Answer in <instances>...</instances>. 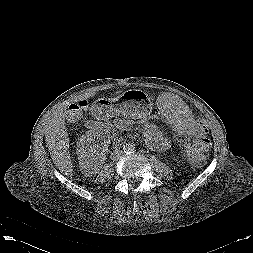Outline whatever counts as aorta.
<instances>
[{
  "label": "aorta",
  "mask_w": 253,
  "mask_h": 253,
  "mask_svg": "<svg viewBox=\"0 0 253 253\" xmlns=\"http://www.w3.org/2000/svg\"><path fill=\"white\" fill-rule=\"evenodd\" d=\"M124 151H126V152L132 151V146L129 144L124 145Z\"/></svg>",
  "instance_id": "aorta-1"
}]
</instances>
